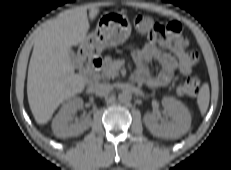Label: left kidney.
Wrapping results in <instances>:
<instances>
[{"label":"left kidney","instance_id":"obj_1","mask_svg":"<svg viewBox=\"0 0 231 170\" xmlns=\"http://www.w3.org/2000/svg\"><path fill=\"white\" fill-rule=\"evenodd\" d=\"M162 106L172 121L159 124L158 113L148 112L143 120L149 131L154 136L166 139H178L187 133L191 126V115L187 107L173 97H164Z\"/></svg>","mask_w":231,"mask_h":170}]
</instances>
